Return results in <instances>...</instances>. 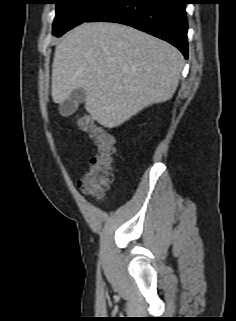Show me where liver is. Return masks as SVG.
I'll use <instances>...</instances> for the list:
<instances>
[{
	"label": "liver",
	"mask_w": 236,
	"mask_h": 321,
	"mask_svg": "<svg viewBox=\"0 0 236 321\" xmlns=\"http://www.w3.org/2000/svg\"><path fill=\"white\" fill-rule=\"evenodd\" d=\"M183 66L181 52L166 41L118 23H83L56 46L51 95L61 104L82 88L86 111L113 128L171 99Z\"/></svg>",
	"instance_id": "6515ba94"
}]
</instances>
